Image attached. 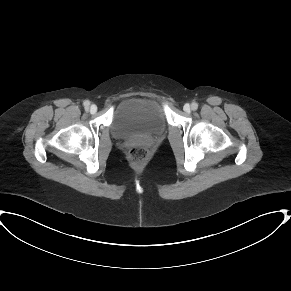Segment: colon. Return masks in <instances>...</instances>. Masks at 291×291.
I'll list each match as a JSON object with an SVG mask.
<instances>
[{
    "label": "colon",
    "mask_w": 291,
    "mask_h": 291,
    "mask_svg": "<svg viewBox=\"0 0 291 291\" xmlns=\"http://www.w3.org/2000/svg\"><path fill=\"white\" fill-rule=\"evenodd\" d=\"M150 157L149 150L143 145H136L128 152L130 163L137 169H141Z\"/></svg>",
    "instance_id": "5ec220e1"
}]
</instances>
